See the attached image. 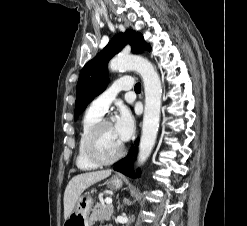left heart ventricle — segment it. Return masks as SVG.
I'll list each match as a JSON object with an SVG mask.
<instances>
[{"instance_id": "left-heart-ventricle-1", "label": "left heart ventricle", "mask_w": 247, "mask_h": 226, "mask_svg": "<svg viewBox=\"0 0 247 226\" xmlns=\"http://www.w3.org/2000/svg\"><path fill=\"white\" fill-rule=\"evenodd\" d=\"M122 145L123 142L116 134L113 125L104 127L94 141V149L96 153L104 159H108L116 155Z\"/></svg>"}]
</instances>
